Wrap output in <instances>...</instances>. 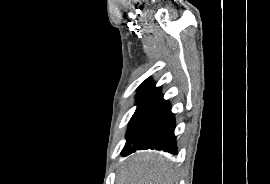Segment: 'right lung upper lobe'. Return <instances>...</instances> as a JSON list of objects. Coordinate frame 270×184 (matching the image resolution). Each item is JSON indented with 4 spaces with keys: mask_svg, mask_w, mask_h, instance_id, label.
I'll return each instance as SVG.
<instances>
[{
    "mask_svg": "<svg viewBox=\"0 0 270 184\" xmlns=\"http://www.w3.org/2000/svg\"><path fill=\"white\" fill-rule=\"evenodd\" d=\"M159 92H161V87H155V83L147 79L140 85L137 98H151Z\"/></svg>",
    "mask_w": 270,
    "mask_h": 184,
    "instance_id": "right-lung-upper-lobe-1",
    "label": "right lung upper lobe"
}]
</instances>
